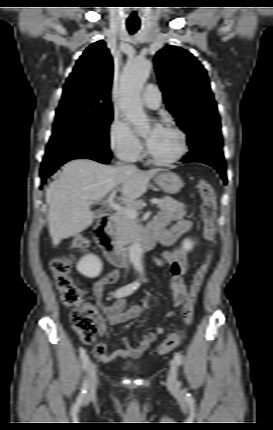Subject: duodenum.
<instances>
[{"mask_svg": "<svg viewBox=\"0 0 273 430\" xmlns=\"http://www.w3.org/2000/svg\"><path fill=\"white\" fill-rule=\"evenodd\" d=\"M111 215L105 214L100 218L94 229V236L98 245L103 249L108 260L116 266L125 267L131 262L130 249L119 244L110 231ZM157 241L153 233H146L139 239L143 251L151 250Z\"/></svg>", "mask_w": 273, "mask_h": 430, "instance_id": "duodenum-1", "label": "duodenum"}]
</instances>
